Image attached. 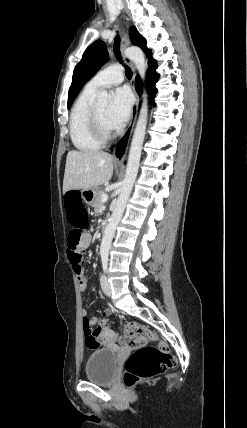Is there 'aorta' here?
<instances>
[{
    "label": "aorta",
    "instance_id": "aorta-1",
    "mask_svg": "<svg viewBox=\"0 0 247 428\" xmlns=\"http://www.w3.org/2000/svg\"><path fill=\"white\" fill-rule=\"evenodd\" d=\"M125 54L135 64V67L140 77L144 81L145 75H146L147 63H146L145 55L143 51L139 47H131L126 50ZM109 100H110V95L108 94V92L106 90L101 91L98 96V103L100 105L106 106ZM147 121H148V95L144 88L143 95H142V105H141L139 117L136 123V127L134 130V134H133V138L130 146L125 178L123 180V184L121 187L119 197L116 201L115 208L112 212L109 223L106 226V229L104 231L103 238L101 241V246H100L101 257L108 256L116 227L124 213L127 201L129 199L130 193L133 188V184L136 180L140 158H141L142 145L146 134Z\"/></svg>",
    "mask_w": 247,
    "mask_h": 428
}]
</instances>
